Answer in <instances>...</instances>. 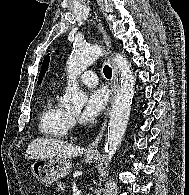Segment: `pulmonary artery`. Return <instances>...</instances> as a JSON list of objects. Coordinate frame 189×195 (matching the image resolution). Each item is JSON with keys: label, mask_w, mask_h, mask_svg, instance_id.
<instances>
[{"label": "pulmonary artery", "mask_w": 189, "mask_h": 195, "mask_svg": "<svg viewBox=\"0 0 189 195\" xmlns=\"http://www.w3.org/2000/svg\"><path fill=\"white\" fill-rule=\"evenodd\" d=\"M80 81L85 86H96L98 84V79L93 72H84L80 76Z\"/></svg>", "instance_id": "1"}]
</instances>
